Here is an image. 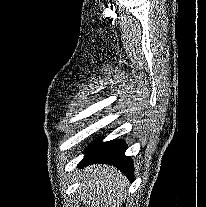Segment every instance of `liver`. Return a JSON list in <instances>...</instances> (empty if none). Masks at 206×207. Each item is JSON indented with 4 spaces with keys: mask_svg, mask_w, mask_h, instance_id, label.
Listing matches in <instances>:
<instances>
[{
    "mask_svg": "<svg viewBox=\"0 0 206 207\" xmlns=\"http://www.w3.org/2000/svg\"><path fill=\"white\" fill-rule=\"evenodd\" d=\"M78 193L85 205L91 207H116L124 200L127 178L108 165H92L80 174Z\"/></svg>",
    "mask_w": 206,
    "mask_h": 207,
    "instance_id": "liver-1",
    "label": "liver"
}]
</instances>
